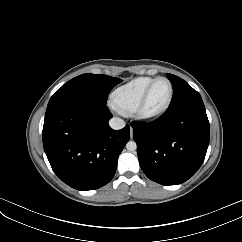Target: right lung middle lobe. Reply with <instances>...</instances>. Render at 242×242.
Instances as JSON below:
<instances>
[{"label": "right lung middle lobe", "mask_w": 242, "mask_h": 242, "mask_svg": "<svg viewBox=\"0 0 242 242\" xmlns=\"http://www.w3.org/2000/svg\"><path fill=\"white\" fill-rule=\"evenodd\" d=\"M122 80L106 75L86 73L79 75L58 89L51 97L47 109L57 103L80 98H89L106 103L111 89Z\"/></svg>", "instance_id": "1"}]
</instances>
